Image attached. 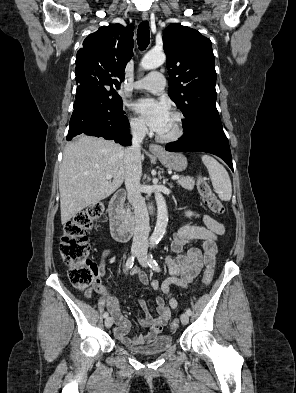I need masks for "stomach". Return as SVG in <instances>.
<instances>
[{
    "mask_svg": "<svg viewBox=\"0 0 296 393\" xmlns=\"http://www.w3.org/2000/svg\"><path fill=\"white\" fill-rule=\"evenodd\" d=\"M156 157L162 165L170 170L180 172L185 170L187 167V159L181 153L163 152L162 154L156 155Z\"/></svg>",
    "mask_w": 296,
    "mask_h": 393,
    "instance_id": "obj_1",
    "label": "stomach"
}]
</instances>
